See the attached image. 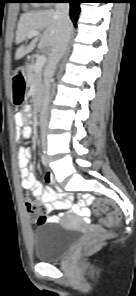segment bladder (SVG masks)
I'll list each match as a JSON object with an SVG mask.
<instances>
[{
  "label": "bladder",
  "instance_id": "obj_1",
  "mask_svg": "<svg viewBox=\"0 0 136 296\" xmlns=\"http://www.w3.org/2000/svg\"><path fill=\"white\" fill-rule=\"evenodd\" d=\"M80 231L61 224L39 225L31 235L34 256L41 262L61 259L79 240Z\"/></svg>",
  "mask_w": 136,
  "mask_h": 296
}]
</instances>
